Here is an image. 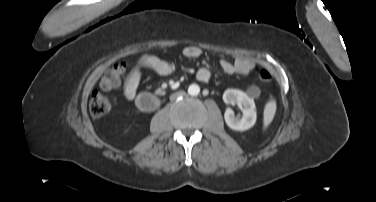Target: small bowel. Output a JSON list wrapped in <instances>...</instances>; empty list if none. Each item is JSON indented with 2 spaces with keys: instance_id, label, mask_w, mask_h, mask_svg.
I'll return each mask as SVG.
<instances>
[{
  "instance_id": "1",
  "label": "small bowel",
  "mask_w": 376,
  "mask_h": 202,
  "mask_svg": "<svg viewBox=\"0 0 376 202\" xmlns=\"http://www.w3.org/2000/svg\"><path fill=\"white\" fill-rule=\"evenodd\" d=\"M201 52V49L197 46H187L183 49L182 54L188 59H196L201 55ZM254 66L255 63L246 58H239L234 63L226 60L219 62L220 69L227 75H246ZM143 68H149L162 76L171 75L175 71L173 63L162 60L155 55H143L125 79L123 91L128 100H133L137 95ZM195 76L201 82H208L212 78V72L208 68H199Z\"/></svg>"
}]
</instances>
